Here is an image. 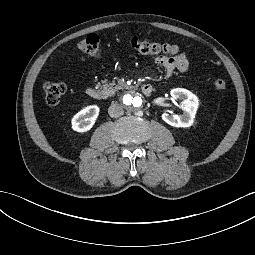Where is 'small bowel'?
Returning a JSON list of instances; mask_svg holds the SVG:
<instances>
[{"instance_id": "1", "label": "small bowel", "mask_w": 255, "mask_h": 255, "mask_svg": "<svg viewBox=\"0 0 255 255\" xmlns=\"http://www.w3.org/2000/svg\"><path fill=\"white\" fill-rule=\"evenodd\" d=\"M155 63L165 70L166 77H171L176 71L185 73L190 67L188 58L184 54L175 56L159 55Z\"/></svg>"}]
</instances>
